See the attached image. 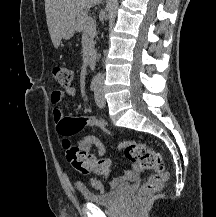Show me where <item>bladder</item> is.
<instances>
[{"label":"bladder","instance_id":"obj_1","mask_svg":"<svg viewBox=\"0 0 216 217\" xmlns=\"http://www.w3.org/2000/svg\"><path fill=\"white\" fill-rule=\"evenodd\" d=\"M127 189H128L127 185H122L113 190L107 192H101V193L82 189L80 191V194L86 202L97 204V205H112L117 203L121 199L123 193Z\"/></svg>","mask_w":216,"mask_h":217}]
</instances>
